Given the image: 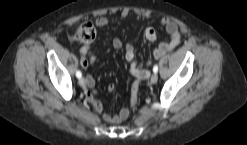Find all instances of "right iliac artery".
Returning a JSON list of instances; mask_svg holds the SVG:
<instances>
[{
	"label": "right iliac artery",
	"instance_id": "obj_1",
	"mask_svg": "<svg viewBox=\"0 0 247 145\" xmlns=\"http://www.w3.org/2000/svg\"><path fill=\"white\" fill-rule=\"evenodd\" d=\"M76 76H77V78H81L82 73L78 70V71L76 72Z\"/></svg>",
	"mask_w": 247,
	"mask_h": 145
}]
</instances>
